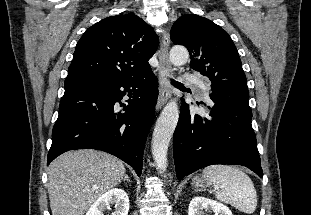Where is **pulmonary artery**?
<instances>
[{
	"label": "pulmonary artery",
	"mask_w": 311,
	"mask_h": 215,
	"mask_svg": "<svg viewBox=\"0 0 311 215\" xmlns=\"http://www.w3.org/2000/svg\"><path fill=\"white\" fill-rule=\"evenodd\" d=\"M186 81L191 83V84H194L196 86L197 93L200 96H202L204 98L208 97V85L205 81H203L202 79H200L196 76H192V75H187Z\"/></svg>",
	"instance_id": "1"
}]
</instances>
